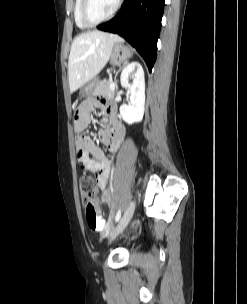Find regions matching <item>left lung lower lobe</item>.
Instances as JSON below:
<instances>
[{
  "instance_id": "1",
  "label": "left lung lower lobe",
  "mask_w": 247,
  "mask_h": 304,
  "mask_svg": "<svg viewBox=\"0 0 247 304\" xmlns=\"http://www.w3.org/2000/svg\"><path fill=\"white\" fill-rule=\"evenodd\" d=\"M165 0H125L122 10L99 30L119 34L127 40L152 70L157 55Z\"/></svg>"
}]
</instances>
